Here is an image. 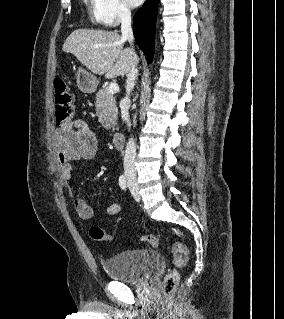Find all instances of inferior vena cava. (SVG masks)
I'll return each mask as SVG.
<instances>
[{"label": "inferior vena cava", "instance_id": "obj_1", "mask_svg": "<svg viewBox=\"0 0 284 319\" xmlns=\"http://www.w3.org/2000/svg\"><path fill=\"white\" fill-rule=\"evenodd\" d=\"M121 19V32L122 39L128 40L131 45V52L136 58V54L133 49V30L131 25V12L128 9H123L120 14ZM138 70L137 64L133 65L130 71L127 74L126 80V96L120 101V109H121V117L123 121L127 123V126L130 127V119H129V107H130V98L129 95L134 88L135 81L137 78ZM135 158H136V146L133 138H130L125 150L124 156V169L126 171H135Z\"/></svg>", "mask_w": 284, "mask_h": 319}]
</instances>
